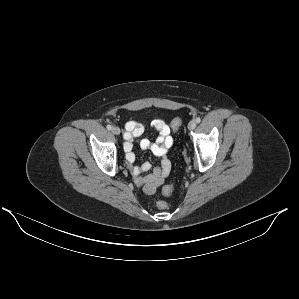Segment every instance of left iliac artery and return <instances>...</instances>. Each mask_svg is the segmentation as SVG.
<instances>
[{
  "mask_svg": "<svg viewBox=\"0 0 299 299\" xmlns=\"http://www.w3.org/2000/svg\"><path fill=\"white\" fill-rule=\"evenodd\" d=\"M201 122V119L198 117L196 118V123H200Z\"/></svg>",
  "mask_w": 299,
  "mask_h": 299,
  "instance_id": "1",
  "label": "left iliac artery"
}]
</instances>
